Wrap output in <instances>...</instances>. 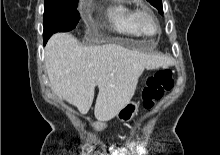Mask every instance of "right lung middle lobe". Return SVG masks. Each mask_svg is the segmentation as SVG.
<instances>
[{"label":"right lung middle lobe","instance_id":"obj_1","mask_svg":"<svg viewBox=\"0 0 220 155\" xmlns=\"http://www.w3.org/2000/svg\"><path fill=\"white\" fill-rule=\"evenodd\" d=\"M79 0H45L44 7V43L55 32H68L76 27L80 20L77 10Z\"/></svg>","mask_w":220,"mask_h":155}]
</instances>
